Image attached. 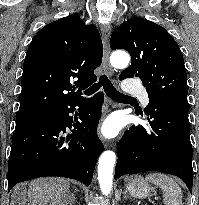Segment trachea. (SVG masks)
<instances>
[{
  "label": "trachea",
  "instance_id": "obj_1",
  "mask_svg": "<svg viewBox=\"0 0 199 205\" xmlns=\"http://www.w3.org/2000/svg\"><path fill=\"white\" fill-rule=\"evenodd\" d=\"M103 86V89L105 93L114 100H122L125 98H129V96H126L119 91L116 90V88L113 86L111 81L108 79V77L104 74L99 78V82L92 85L86 92V95H91L95 93L99 88Z\"/></svg>",
  "mask_w": 199,
  "mask_h": 205
}]
</instances>
